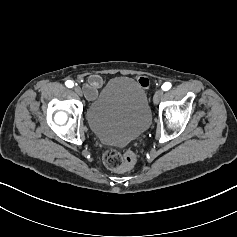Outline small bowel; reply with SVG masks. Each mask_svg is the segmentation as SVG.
<instances>
[{
  "label": "small bowel",
  "instance_id": "1",
  "mask_svg": "<svg viewBox=\"0 0 237 237\" xmlns=\"http://www.w3.org/2000/svg\"><path fill=\"white\" fill-rule=\"evenodd\" d=\"M138 82L140 85L144 88H148L149 86V80L146 77H140L138 78ZM104 83L103 78L100 75H91L88 77L85 85H84V93L86 98L89 100L95 99L97 96L98 90L102 87Z\"/></svg>",
  "mask_w": 237,
  "mask_h": 237
}]
</instances>
